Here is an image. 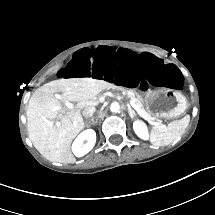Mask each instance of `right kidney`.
Segmentation results:
<instances>
[{
  "instance_id": "obj_1",
  "label": "right kidney",
  "mask_w": 215,
  "mask_h": 215,
  "mask_svg": "<svg viewBox=\"0 0 215 215\" xmlns=\"http://www.w3.org/2000/svg\"><path fill=\"white\" fill-rule=\"evenodd\" d=\"M84 140H87V143L85 145H82ZM95 143L96 132L93 129H86L75 138L71 145V151L74 156L83 157L93 149Z\"/></svg>"
}]
</instances>
